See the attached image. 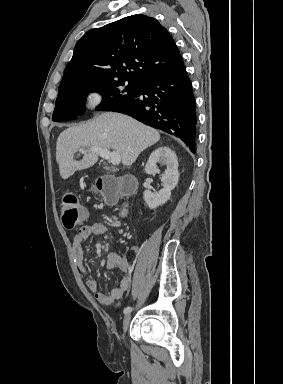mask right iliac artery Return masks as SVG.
Here are the masks:
<instances>
[{
	"mask_svg": "<svg viewBox=\"0 0 283 384\" xmlns=\"http://www.w3.org/2000/svg\"><path fill=\"white\" fill-rule=\"evenodd\" d=\"M132 311V307H126L125 309H124V314H127V313H129V312H131Z\"/></svg>",
	"mask_w": 283,
	"mask_h": 384,
	"instance_id": "1",
	"label": "right iliac artery"
}]
</instances>
